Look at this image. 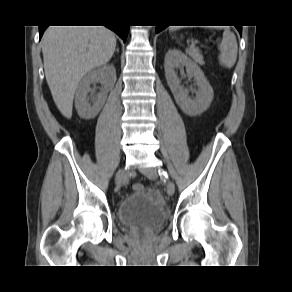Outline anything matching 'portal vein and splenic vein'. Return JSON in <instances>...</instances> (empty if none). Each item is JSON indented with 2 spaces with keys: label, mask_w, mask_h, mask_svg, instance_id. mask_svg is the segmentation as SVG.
Here are the masks:
<instances>
[{
  "label": "portal vein and splenic vein",
  "mask_w": 292,
  "mask_h": 292,
  "mask_svg": "<svg viewBox=\"0 0 292 292\" xmlns=\"http://www.w3.org/2000/svg\"><path fill=\"white\" fill-rule=\"evenodd\" d=\"M188 50H195V48L193 46H191L190 49H188Z\"/></svg>",
  "instance_id": "18ae733b"
}]
</instances>
